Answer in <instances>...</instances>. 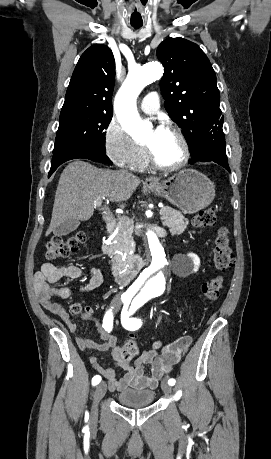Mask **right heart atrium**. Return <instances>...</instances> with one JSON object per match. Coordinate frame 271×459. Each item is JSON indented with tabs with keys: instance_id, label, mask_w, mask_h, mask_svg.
<instances>
[{
	"instance_id": "obj_1",
	"label": "right heart atrium",
	"mask_w": 271,
	"mask_h": 459,
	"mask_svg": "<svg viewBox=\"0 0 271 459\" xmlns=\"http://www.w3.org/2000/svg\"><path fill=\"white\" fill-rule=\"evenodd\" d=\"M103 146L106 155L122 167H133L147 155L145 147L136 143L127 130L114 120L104 130Z\"/></svg>"
}]
</instances>
